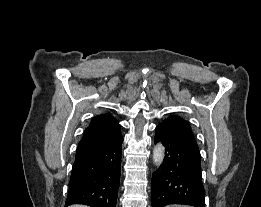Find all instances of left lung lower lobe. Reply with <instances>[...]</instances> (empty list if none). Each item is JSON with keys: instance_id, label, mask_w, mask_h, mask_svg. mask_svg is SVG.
<instances>
[{"instance_id": "1", "label": "left lung lower lobe", "mask_w": 261, "mask_h": 207, "mask_svg": "<svg viewBox=\"0 0 261 207\" xmlns=\"http://www.w3.org/2000/svg\"><path fill=\"white\" fill-rule=\"evenodd\" d=\"M154 142L164 145L165 158L152 176V207L168 204L205 207L201 155L166 120L156 126Z\"/></svg>"}]
</instances>
